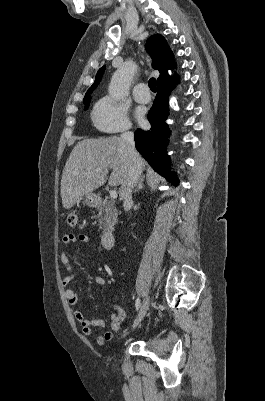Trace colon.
Wrapping results in <instances>:
<instances>
[{
	"label": "colon",
	"instance_id": "colon-1",
	"mask_svg": "<svg viewBox=\"0 0 265 401\" xmlns=\"http://www.w3.org/2000/svg\"><path fill=\"white\" fill-rule=\"evenodd\" d=\"M78 216L76 212H70L67 215L66 222L70 227H74L77 224Z\"/></svg>",
	"mask_w": 265,
	"mask_h": 401
}]
</instances>
